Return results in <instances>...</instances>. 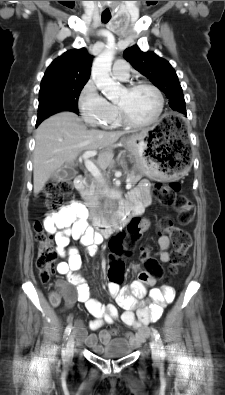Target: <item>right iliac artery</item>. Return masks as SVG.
Here are the masks:
<instances>
[{
	"mask_svg": "<svg viewBox=\"0 0 225 395\" xmlns=\"http://www.w3.org/2000/svg\"><path fill=\"white\" fill-rule=\"evenodd\" d=\"M71 330H72V325H68L66 327V329H65V332H64V339H67V337L69 336Z\"/></svg>",
	"mask_w": 225,
	"mask_h": 395,
	"instance_id": "obj_1",
	"label": "right iliac artery"
}]
</instances>
